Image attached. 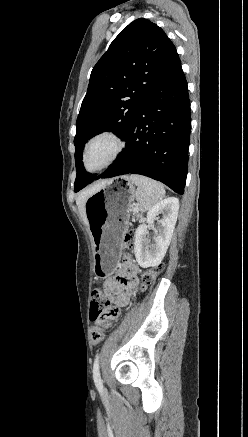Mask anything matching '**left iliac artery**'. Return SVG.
<instances>
[{
    "label": "left iliac artery",
    "mask_w": 248,
    "mask_h": 437,
    "mask_svg": "<svg viewBox=\"0 0 248 437\" xmlns=\"http://www.w3.org/2000/svg\"><path fill=\"white\" fill-rule=\"evenodd\" d=\"M92 372H93V379H94V383H95L96 387L99 390H102L103 385H102V380H101L100 373H99V355H97L95 360H94Z\"/></svg>",
    "instance_id": "left-iliac-artery-1"
}]
</instances>
